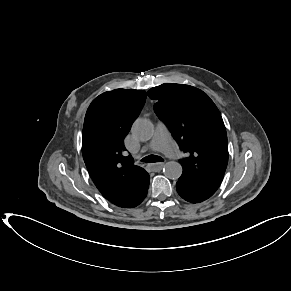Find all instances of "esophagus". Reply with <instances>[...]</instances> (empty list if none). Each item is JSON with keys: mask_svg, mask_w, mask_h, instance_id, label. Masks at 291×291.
Returning <instances> with one entry per match:
<instances>
[{"mask_svg": "<svg viewBox=\"0 0 291 291\" xmlns=\"http://www.w3.org/2000/svg\"><path fill=\"white\" fill-rule=\"evenodd\" d=\"M152 171L157 172L160 171L164 167V163H154L150 165Z\"/></svg>", "mask_w": 291, "mask_h": 291, "instance_id": "esophagus-1", "label": "esophagus"}]
</instances>
